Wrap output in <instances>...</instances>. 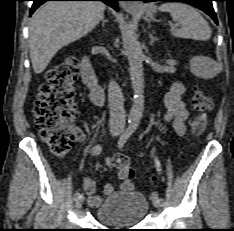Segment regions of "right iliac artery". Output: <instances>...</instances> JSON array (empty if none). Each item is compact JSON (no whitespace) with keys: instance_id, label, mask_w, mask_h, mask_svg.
I'll use <instances>...</instances> for the list:
<instances>
[{"instance_id":"1","label":"right iliac artery","mask_w":234,"mask_h":231,"mask_svg":"<svg viewBox=\"0 0 234 231\" xmlns=\"http://www.w3.org/2000/svg\"><path fill=\"white\" fill-rule=\"evenodd\" d=\"M130 123V122H129ZM102 149H103V146L98 144V145H95L92 149H91V154L92 155H99L101 152H102ZM81 194L79 192H76L74 194V199L76 200L78 197H80Z\"/></svg>"}]
</instances>
